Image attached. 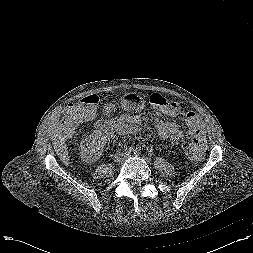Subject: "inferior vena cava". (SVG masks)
Returning a JSON list of instances; mask_svg holds the SVG:
<instances>
[{"instance_id": "1", "label": "inferior vena cava", "mask_w": 253, "mask_h": 253, "mask_svg": "<svg viewBox=\"0 0 253 253\" xmlns=\"http://www.w3.org/2000/svg\"><path fill=\"white\" fill-rule=\"evenodd\" d=\"M114 158H115V161L121 162L126 158V156L124 153L119 152L115 154Z\"/></svg>"}]
</instances>
